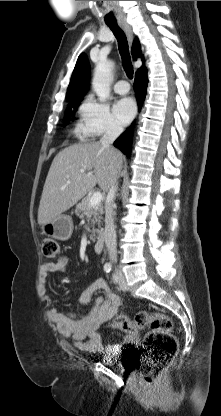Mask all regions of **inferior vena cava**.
I'll use <instances>...</instances> for the list:
<instances>
[{
	"mask_svg": "<svg viewBox=\"0 0 221 416\" xmlns=\"http://www.w3.org/2000/svg\"><path fill=\"white\" fill-rule=\"evenodd\" d=\"M123 132V128L111 122L100 139L101 145L111 152L112 155L115 154L116 150L112 146L117 137ZM117 191V182L114 179L111 183V187L107 194V200L105 204V230H104V240L108 250L109 259L112 262L117 261V236L114 226V211L113 204L115 199V193Z\"/></svg>",
	"mask_w": 221,
	"mask_h": 416,
	"instance_id": "602c4592",
	"label": "inferior vena cava"
}]
</instances>
